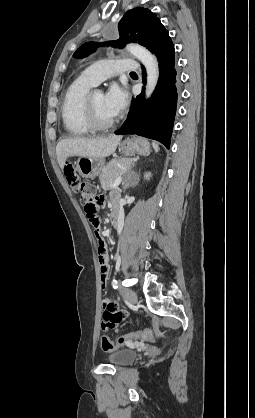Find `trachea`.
I'll use <instances>...</instances> for the list:
<instances>
[{
    "instance_id": "3493384b",
    "label": "trachea",
    "mask_w": 255,
    "mask_h": 418,
    "mask_svg": "<svg viewBox=\"0 0 255 418\" xmlns=\"http://www.w3.org/2000/svg\"><path fill=\"white\" fill-rule=\"evenodd\" d=\"M131 74H136L135 72H131Z\"/></svg>"
}]
</instances>
